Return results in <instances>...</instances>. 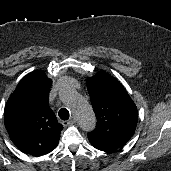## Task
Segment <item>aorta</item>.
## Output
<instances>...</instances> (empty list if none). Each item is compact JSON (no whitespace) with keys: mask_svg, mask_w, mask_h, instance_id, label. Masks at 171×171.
Listing matches in <instances>:
<instances>
[{"mask_svg":"<svg viewBox=\"0 0 171 171\" xmlns=\"http://www.w3.org/2000/svg\"><path fill=\"white\" fill-rule=\"evenodd\" d=\"M60 98L72 110L82 130L89 132L95 128L96 117L91 105L74 89L70 87L62 88Z\"/></svg>","mask_w":171,"mask_h":171,"instance_id":"obj_1","label":"aorta"}]
</instances>
